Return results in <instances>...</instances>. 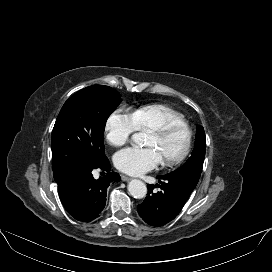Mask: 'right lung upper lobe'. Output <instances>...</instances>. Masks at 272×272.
Here are the masks:
<instances>
[{
  "label": "right lung upper lobe",
  "mask_w": 272,
  "mask_h": 272,
  "mask_svg": "<svg viewBox=\"0 0 272 272\" xmlns=\"http://www.w3.org/2000/svg\"><path fill=\"white\" fill-rule=\"evenodd\" d=\"M64 181V179H57V180H55V182L57 183V184H60V183H62Z\"/></svg>",
  "instance_id": "right-lung-upper-lobe-1"
}]
</instances>
